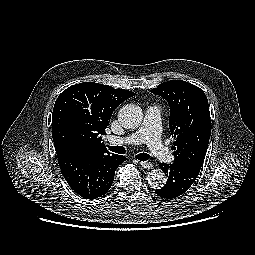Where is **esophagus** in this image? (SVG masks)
I'll return each mask as SVG.
<instances>
[{
	"label": "esophagus",
	"mask_w": 255,
	"mask_h": 255,
	"mask_svg": "<svg viewBox=\"0 0 255 255\" xmlns=\"http://www.w3.org/2000/svg\"><path fill=\"white\" fill-rule=\"evenodd\" d=\"M142 165V167H144L145 169H152L153 168V164L151 162L148 161H143L140 163Z\"/></svg>",
	"instance_id": "1"
}]
</instances>
